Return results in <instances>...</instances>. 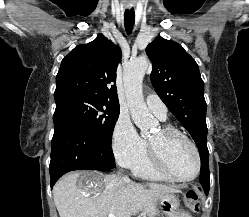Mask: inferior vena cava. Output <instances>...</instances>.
Here are the masks:
<instances>
[{
  "instance_id": "obj_1",
  "label": "inferior vena cava",
  "mask_w": 249,
  "mask_h": 217,
  "mask_svg": "<svg viewBox=\"0 0 249 217\" xmlns=\"http://www.w3.org/2000/svg\"><path fill=\"white\" fill-rule=\"evenodd\" d=\"M118 174H121V173L119 172ZM124 179H125V180H129V178H128L127 176H126V177H124Z\"/></svg>"
}]
</instances>
